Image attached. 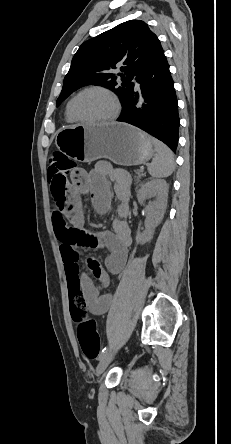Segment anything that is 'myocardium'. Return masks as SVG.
Listing matches in <instances>:
<instances>
[{
  "mask_svg": "<svg viewBox=\"0 0 231 444\" xmlns=\"http://www.w3.org/2000/svg\"><path fill=\"white\" fill-rule=\"evenodd\" d=\"M88 91H100L102 93H104L111 101L112 106H113V111L112 113L102 119L99 120H87L83 117H81L77 111H76V102L78 100V98L88 92ZM70 111L72 116L79 122L84 123V124H88V125H101V124H106V123H110L112 121H114L119 113H120V103L118 98L116 97V95L108 88L101 86V85H91L88 87L83 88L82 90H80L71 100V104H70Z\"/></svg>",
  "mask_w": 231,
  "mask_h": 444,
  "instance_id": "f54148a6",
  "label": "myocardium"
}]
</instances>
